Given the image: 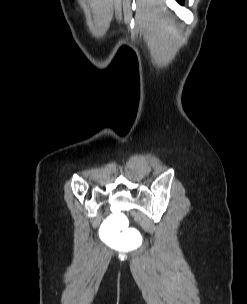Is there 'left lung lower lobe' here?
I'll return each instance as SVG.
<instances>
[{"label": "left lung lower lobe", "mask_w": 247, "mask_h": 304, "mask_svg": "<svg viewBox=\"0 0 247 304\" xmlns=\"http://www.w3.org/2000/svg\"><path fill=\"white\" fill-rule=\"evenodd\" d=\"M180 4H182L183 3V0H177Z\"/></svg>", "instance_id": "1"}]
</instances>
